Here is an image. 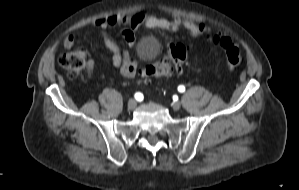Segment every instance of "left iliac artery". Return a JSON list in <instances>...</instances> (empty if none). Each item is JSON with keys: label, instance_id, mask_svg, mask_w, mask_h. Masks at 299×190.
<instances>
[{"label": "left iliac artery", "instance_id": "obj_1", "mask_svg": "<svg viewBox=\"0 0 299 190\" xmlns=\"http://www.w3.org/2000/svg\"><path fill=\"white\" fill-rule=\"evenodd\" d=\"M178 91L179 92H184L185 91V87L183 85L178 86Z\"/></svg>", "mask_w": 299, "mask_h": 190}]
</instances>
